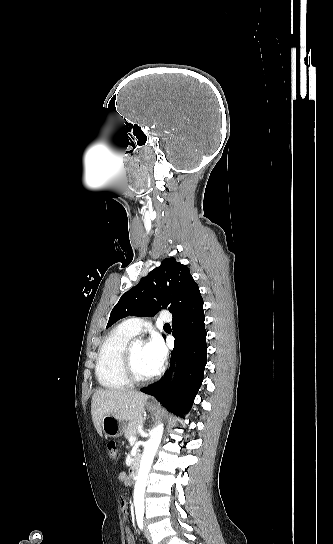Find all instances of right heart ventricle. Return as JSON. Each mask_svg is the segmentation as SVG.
I'll return each mask as SVG.
<instances>
[{
    "instance_id": "obj_1",
    "label": "right heart ventricle",
    "mask_w": 333,
    "mask_h": 544,
    "mask_svg": "<svg viewBox=\"0 0 333 544\" xmlns=\"http://www.w3.org/2000/svg\"><path fill=\"white\" fill-rule=\"evenodd\" d=\"M133 336L120 325L104 338L95 367L97 380L102 387L121 390L131 385L123 371V354Z\"/></svg>"
}]
</instances>
